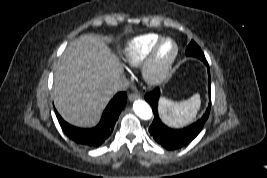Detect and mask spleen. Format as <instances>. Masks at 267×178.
I'll list each match as a JSON object with an SVG mask.
<instances>
[{
    "label": "spleen",
    "instance_id": "3e777b00",
    "mask_svg": "<svg viewBox=\"0 0 267 178\" xmlns=\"http://www.w3.org/2000/svg\"><path fill=\"white\" fill-rule=\"evenodd\" d=\"M199 94H194L188 100L174 102L166 98L159 100V113L162 120L172 127H182L193 122L200 109Z\"/></svg>",
    "mask_w": 267,
    "mask_h": 178
}]
</instances>
